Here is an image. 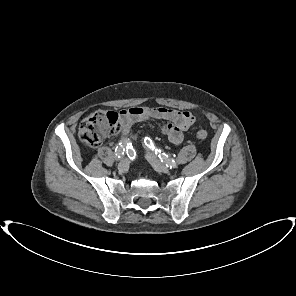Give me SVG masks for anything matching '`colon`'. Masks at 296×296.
I'll list each match as a JSON object with an SVG mask.
<instances>
[{
  "label": "colon",
  "mask_w": 296,
  "mask_h": 296,
  "mask_svg": "<svg viewBox=\"0 0 296 296\" xmlns=\"http://www.w3.org/2000/svg\"><path fill=\"white\" fill-rule=\"evenodd\" d=\"M120 116L115 111L98 110L86 117L80 124L78 135L82 142L90 147H98L105 136L116 133L120 128ZM200 140L207 138L206 130H198Z\"/></svg>",
  "instance_id": "colon-1"
}]
</instances>
